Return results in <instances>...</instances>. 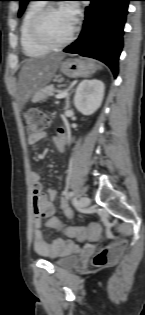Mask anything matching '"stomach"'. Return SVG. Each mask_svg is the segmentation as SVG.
<instances>
[{"mask_svg": "<svg viewBox=\"0 0 145 315\" xmlns=\"http://www.w3.org/2000/svg\"><path fill=\"white\" fill-rule=\"evenodd\" d=\"M62 64H67V71H61L70 78L89 76L96 70V65L92 60L69 59Z\"/></svg>", "mask_w": 145, "mask_h": 315, "instance_id": "1", "label": "stomach"}]
</instances>
